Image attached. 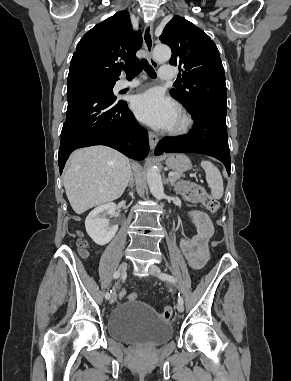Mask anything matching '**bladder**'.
Wrapping results in <instances>:
<instances>
[{"label":"bladder","mask_w":291,"mask_h":381,"mask_svg":"<svg viewBox=\"0 0 291 381\" xmlns=\"http://www.w3.org/2000/svg\"><path fill=\"white\" fill-rule=\"evenodd\" d=\"M109 336L119 342L156 346L169 340L173 328L152 306L142 300L118 304L107 321Z\"/></svg>","instance_id":"1"}]
</instances>
